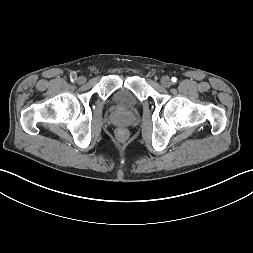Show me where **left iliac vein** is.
Listing matches in <instances>:
<instances>
[{"label":"left iliac vein","instance_id":"1","mask_svg":"<svg viewBox=\"0 0 253 253\" xmlns=\"http://www.w3.org/2000/svg\"><path fill=\"white\" fill-rule=\"evenodd\" d=\"M161 84H162V86L167 88V87L171 86L172 82H171V79L169 77L164 76V77L161 78Z\"/></svg>","mask_w":253,"mask_h":253}]
</instances>
